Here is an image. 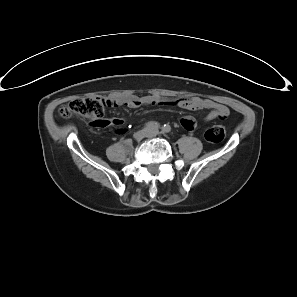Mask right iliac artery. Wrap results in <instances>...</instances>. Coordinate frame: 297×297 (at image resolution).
I'll use <instances>...</instances> for the list:
<instances>
[{"label":"right iliac artery","instance_id":"right-iliac-artery-1","mask_svg":"<svg viewBox=\"0 0 297 297\" xmlns=\"http://www.w3.org/2000/svg\"><path fill=\"white\" fill-rule=\"evenodd\" d=\"M160 127L159 123L155 121H150L145 124L146 129H158Z\"/></svg>","mask_w":297,"mask_h":297}]
</instances>
